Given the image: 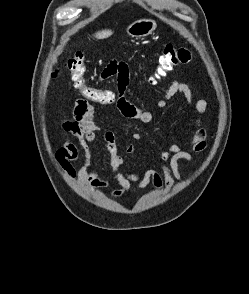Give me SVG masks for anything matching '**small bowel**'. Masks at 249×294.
I'll return each mask as SVG.
<instances>
[{"label":"small bowel","mask_w":249,"mask_h":294,"mask_svg":"<svg viewBox=\"0 0 249 294\" xmlns=\"http://www.w3.org/2000/svg\"><path fill=\"white\" fill-rule=\"evenodd\" d=\"M111 76L102 72L100 79L106 80ZM129 82L128 66L125 71L117 76L118 97L116 107L121 115L127 119L138 120L142 123H149L153 120V112L150 109L139 108L130 102L124 92ZM176 95H181L189 109L195 112L193 128L190 134V149L196 153L206 150L208 131L201 127V116L207 109V102L203 99L194 101L190 88L174 80L163 97L157 102L159 108H164L167 102ZM64 129L79 139V146L84 153V163L79 170L73 166V161L79 157V147L68 137L65 138L62 146L55 152V158L71 179H76L80 184L92 190H100L107 187L111 181H116L120 189L112 192L113 197L129 191L131 188L142 190L152 185L156 190H170L175 182L183 179L179 167L180 161L194 162L193 155L181 148L177 142L169 143L157 154V162L161 171L148 169L145 171H131L124 168L127 155L135 151L134 146L127 145L122 153L117 145V136L113 131H105L104 140L109 153V173L101 174L98 169L92 166L94 146L97 139V132L100 130L95 121L94 107L84 98L75 101L74 120L64 122ZM135 140L141 139V135H132Z\"/></svg>","instance_id":"small-bowel-1"}]
</instances>
